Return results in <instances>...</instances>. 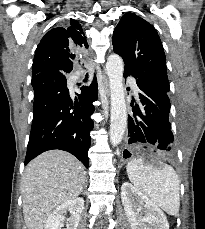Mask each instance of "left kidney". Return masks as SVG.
<instances>
[{
    "instance_id": "obj_1",
    "label": "left kidney",
    "mask_w": 205,
    "mask_h": 229,
    "mask_svg": "<svg viewBox=\"0 0 205 229\" xmlns=\"http://www.w3.org/2000/svg\"><path fill=\"white\" fill-rule=\"evenodd\" d=\"M121 200L132 229H169L164 212L131 183L122 184Z\"/></svg>"
}]
</instances>
